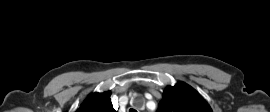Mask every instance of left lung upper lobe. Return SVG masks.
<instances>
[{
	"label": "left lung upper lobe",
	"instance_id": "obj_1",
	"mask_svg": "<svg viewBox=\"0 0 270 112\" xmlns=\"http://www.w3.org/2000/svg\"><path fill=\"white\" fill-rule=\"evenodd\" d=\"M157 112H213L209 104L191 86L178 82L168 86Z\"/></svg>",
	"mask_w": 270,
	"mask_h": 112
}]
</instances>
